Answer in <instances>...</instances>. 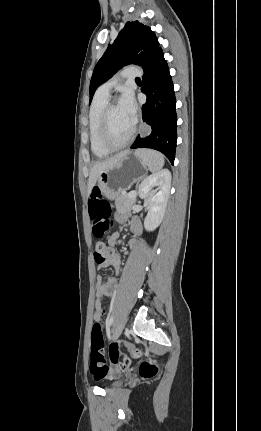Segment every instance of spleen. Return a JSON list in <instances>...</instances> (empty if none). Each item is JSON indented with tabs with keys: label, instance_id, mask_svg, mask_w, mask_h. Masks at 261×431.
Segmentation results:
<instances>
[{
	"label": "spleen",
	"instance_id": "3e777b00",
	"mask_svg": "<svg viewBox=\"0 0 261 431\" xmlns=\"http://www.w3.org/2000/svg\"><path fill=\"white\" fill-rule=\"evenodd\" d=\"M137 153L152 172L160 170L164 165V157L157 151L143 149L138 150Z\"/></svg>",
	"mask_w": 261,
	"mask_h": 431
}]
</instances>
